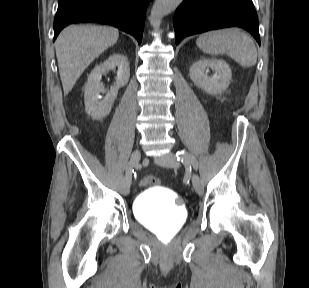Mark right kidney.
<instances>
[{
    "instance_id": "obj_1",
    "label": "right kidney",
    "mask_w": 309,
    "mask_h": 288,
    "mask_svg": "<svg viewBox=\"0 0 309 288\" xmlns=\"http://www.w3.org/2000/svg\"><path fill=\"white\" fill-rule=\"evenodd\" d=\"M117 69V76L110 91L105 90L101 83L102 75L109 70ZM130 67L127 58L120 54L110 56L104 63L96 66L90 73L84 87L85 110L94 119H103L112 108L117 98L118 90L125 86L129 81ZM106 93L102 98L99 94Z\"/></svg>"
}]
</instances>
